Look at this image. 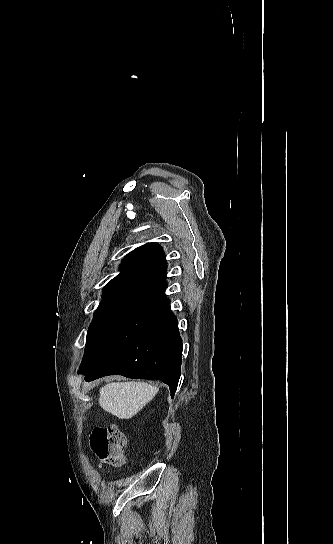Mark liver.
Listing matches in <instances>:
<instances>
[{
  "mask_svg": "<svg viewBox=\"0 0 333 544\" xmlns=\"http://www.w3.org/2000/svg\"><path fill=\"white\" fill-rule=\"evenodd\" d=\"M157 392L158 388L145 382H113L100 389L99 405L119 419H129Z\"/></svg>",
  "mask_w": 333,
  "mask_h": 544,
  "instance_id": "liver-1",
  "label": "liver"
}]
</instances>
